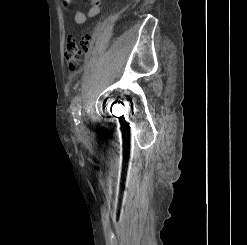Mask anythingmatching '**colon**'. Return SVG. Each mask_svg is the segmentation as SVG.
<instances>
[{
    "label": "colon",
    "mask_w": 247,
    "mask_h": 245,
    "mask_svg": "<svg viewBox=\"0 0 247 245\" xmlns=\"http://www.w3.org/2000/svg\"><path fill=\"white\" fill-rule=\"evenodd\" d=\"M92 37L84 34L79 38L69 36L66 41L65 59L70 71L80 68L85 54L91 45Z\"/></svg>",
    "instance_id": "colon-1"
}]
</instances>
